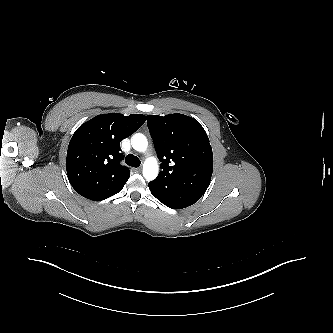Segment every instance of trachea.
<instances>
[{
    "label": "trachea",
    "mask_w": 333,
    "mask_h": 333,
    "mask_svg": "<svg viewBox=\"0 0 333 333\" xmlns=\"http://www.w3.org/2000/svg\"><path fill=\"white\" fill-rule=\"evenodd\" d=\"M125 162L127 165L132 167H139L141 164L140 159L137 156H134L133 154H128L125 158Z\"/></svg>",
    "instance_id": "3493384b"
}]
</instances>
